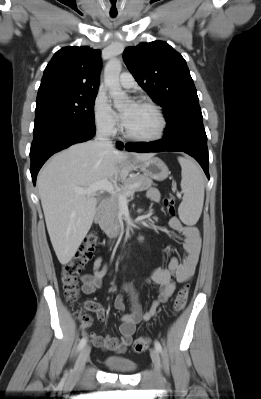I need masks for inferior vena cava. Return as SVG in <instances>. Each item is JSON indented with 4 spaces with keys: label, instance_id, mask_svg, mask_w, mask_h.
Instances as JSON below:
<instances>
[{
    "label": "inferior vena cava",
    "instance_id": "1",
    "mask_svg": "<svg viewBox=\"0 0 261 399\" xmlns=\"http://www.w3.org/2000/svg\"><path fill=\"white\" fill-rule=\"evenodd\" d=\"M96 140L106 144L108 147L113 148V144L108 138V129L107 128L99 127L97 129Z\"/></svg>",
    "mask_w": 261,
    "mask_h": 399
}]
</instances>
